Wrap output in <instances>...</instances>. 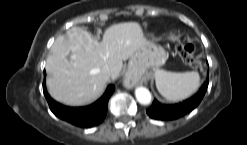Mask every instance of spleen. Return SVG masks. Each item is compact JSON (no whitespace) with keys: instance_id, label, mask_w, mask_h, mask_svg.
<instances>
[{"instance_id":"obj_1","label":"spleen","mask_w":247,"mask_h":145,"mask_svg":"<svg viewBox=\"0 0 247 145\" xmlns=\"http://www.w3.org/2000/svg\"><path fill=\"white\" fill-rule=\"evenodd\" d=\"M158 92L168 101L177 102L193 95L200 87L198 72H169L163 69L155 71Z\"/></svg>"}]
</instances>
